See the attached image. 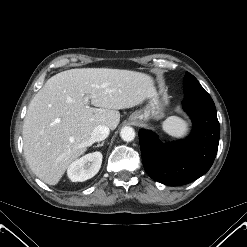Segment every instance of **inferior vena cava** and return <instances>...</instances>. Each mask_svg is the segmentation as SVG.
I'll use <instances>...</instances> for the list:
<instances>
[{
	"label": "inferior vena cava",
	"mask_w": 247,
	"mask_h": 247,
	"mask_svg": "<svg viewBox=\"0 0 247 247\" xmlns=\"http://www.w3.org/2000/svg\"><path fill=\"white\" fill-rule=\"evenodd\" d=\"M109 132H110L109 127H107L105 125H98L92 131L91 141L92 142L102 141L108 137Z\"/></svg>",
	"instance_id": "1"
}]
</instances>
